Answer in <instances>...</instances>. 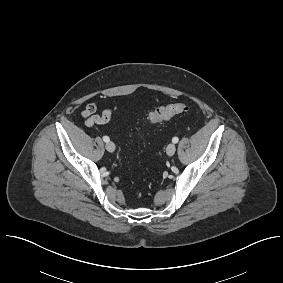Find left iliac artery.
I'll return each instance as SVG.
<instances>
[{"label": "left iliac artery", "instance_id": "obj_1", "mask_svg": "<svg viewBox=\"0 0 283 283\" xmlns=\"http://www.w3.org/2000/svg\"><path fill=\"white\" fill-rule=\"evenodd\" d=\"M178 141H179L178 137H174V138L172 139V142H173V143H177Z\"/></svg>", "mask_w": 283, "mask_h": 283}]
</instances>
